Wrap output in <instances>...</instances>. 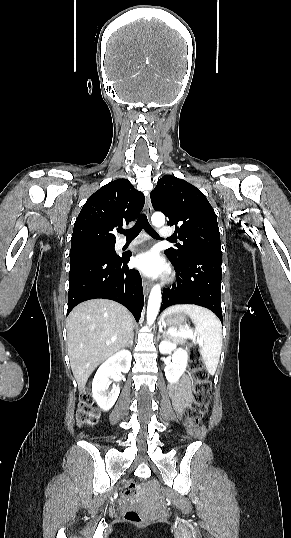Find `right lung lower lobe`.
<instances>
[{
    "label": "right lung lower lobe",
    "instance_id": "1",
    "mask_svg": "<svg viewBox=\"0 0 291 538\" xmlns=\"http://www.w3.org/2000/svg\"><path fill=\"white\" fill-rule=\"evenodd\" d=\"M130 255L72 261L67 314L83 301L104 298L123 304L139 320L144 305L143 287L139 272L127 266Z\"/></svg>",
    "mask_w": 291,
    "mask_h": 538
}]
</instances>
